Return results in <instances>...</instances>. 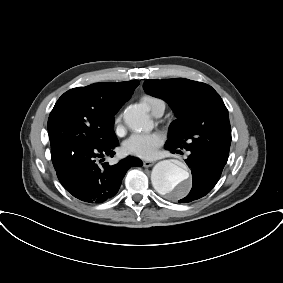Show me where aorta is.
I'll use <instances>...</instances> for the list:
<instances>
[{
	"mask_svg": "<svg viewBox=\"0 0 283 283\" xmlns=\"http://www.w3.org/2000/svg\"><path fill=\"white\" fill-rule=\"evenodd\" d=\"M123 118L132 130H150L152 128L150 117L140 107L129 106L125 109ZM151 181L159 194L171 195L174 198L185 196L190 188L188 171L172 160L158 162L153 167Z\"/></svg>",
	"mask_w": 283,
	"mask_h": 283,
	"instance_id": "762f6f07",
	"label": "aorta"
}]
</instances>
